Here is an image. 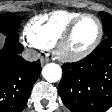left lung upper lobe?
Here are the masks:
<instances>
[{"label": "left lung upper lobe", "instance_id": "5c2ea615", "mask_svg": "<svg viewBox=\"0 0 112 112\" xmlns=\"http://www.w3.org/2000/svg\"><path fill=\"white\" fill-rule=\"evenodd\" d=\"M103 22V31L106 37H112V15L106 12H99Z\"/></svg>", "mask_w": 112, "mask_h": 112}]
</instances>
